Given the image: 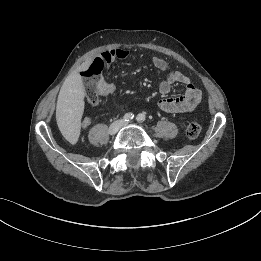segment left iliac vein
Here are the masks:
<instances>
[{"mask_svg":"<svg viewBox=\"0 0 261 261\" xmlns=\"http://www.w3.org/2000/svg\"><path fill=\"white\" fill-rule=\"evenodd\" d=\"M128 125H130V123L125 122V123H123L122 127H125V126H128Z\"/></svg>","mask_w":261,"mask_h":261,"instance_id":"left-iliac-vein-1","label":"left iliac vein"}]
</instances>
